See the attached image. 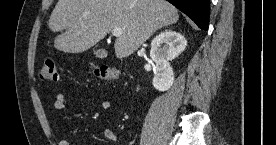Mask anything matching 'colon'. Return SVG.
I'll return each mask as SVG.
<instances>
[{"mask_svg":"<svg viewBox=\"0 0 276 145\" xmlns=\"http://www.w3.org/2000/svg\"><path fill=\"white\" fill-rule=\"evenodd\" d=\"M95 75L104 80H116L119 78V73L113 69L106 66L97 67L95 69ZM38 77L41 81L47 82H57L58 81V71L54 60L47 59L39 68Z\"/></svg>","mask_w":276,"mask_h":145,"instance_id":"1","label":"colon"}]
</instances>
